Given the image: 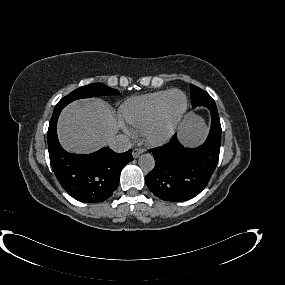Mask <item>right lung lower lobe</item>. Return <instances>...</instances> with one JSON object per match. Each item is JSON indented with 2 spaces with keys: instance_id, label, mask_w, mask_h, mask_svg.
Returning <instances> with one entry per match:
<instances>
[{
  "instance_id": "right-lung-lower-lobe-1",
  "label": "right lung lower lobe",
  "mask_w": 285,
  "mask_h": 285,
  "mask_svg": "<svg viewBox=\"0 0 285 285\" xmlns=\"http://www.w3.org/2000/svg\"><path fill=\"white\" fill-rule=\"evenodd\" d=\"M61 110L53 112L48 128V151L53 171L74 199L86 203L102 202L118 187L122 168L133 160L132 150L118 154L105 147L89 155L66 152L56 132Z\"/></svg>"
}]
</instances>
